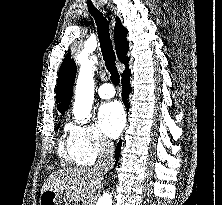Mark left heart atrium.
Masks as SVG:
<instances>
[{
  "label": "left heart atrium",
  "mask_w": 222,
  "mask_h": 205,
  "mask_svg": "<svg viewBox=\"0 0 222 205\" xmlns=\"http://www.w3.org/2000/svg\"><path fill=\"white\" fill-rule=\"evenodd\" d=\"M98 118L102 130L111 138H116L125 124L123 107L117 101L103 104L99 109Z\"/></svg>",
  "instance_id": "obj_1"
}]
</instances>
